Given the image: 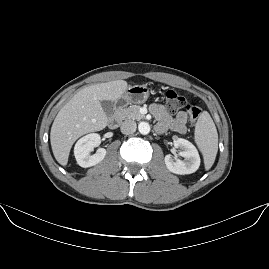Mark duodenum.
<instances>
[{"instance_id":"duodenum-1","label":"duodenum","mask_w":269,"mask_h":269,"mask_svg":"<svg viewBox=\"0 0 269 269\" xmlns=\"http://www.w3.org/2000/svg\"><path fill=\"white\" fill-rule=\"evenodd\" d=\"M120 121L119 115L115 114L109 119V127L110 128H116L118 123Z\"/></svg>"}]
</instances>
